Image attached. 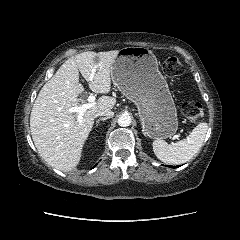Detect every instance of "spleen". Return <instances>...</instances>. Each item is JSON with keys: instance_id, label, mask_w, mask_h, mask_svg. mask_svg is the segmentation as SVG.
Returning <instances> with one entry per match:
<instances>
[{"instance_id": "spleen-1", "label": "spleen", "mask_w": 240, "mask_h": 240, "mask_svg": "<svg viewBox=\"0 0 240 240\" xmlns=\"http://www.w3.org/2000/svg\"><path fill=\"white\" fill-rule=\"evenodd\" d=\"M208 130L207 123H199L183 140L167 143L162 139L153 142L156 157L164 163L178 165L190 160L202 147Z\"/></svg>"}]
</instances>
